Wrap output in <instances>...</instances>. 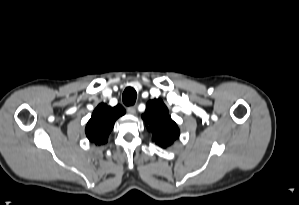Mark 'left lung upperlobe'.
I'll return each instance as SVG.
<instances>
[{
	"mask_svg": "<svg viewBox=\"0 0 299 205\" xmlns=\"http://www.w3.org/2000/svg\"><path fill=\"white\" fill-rule=\"evenodd\" d=\"M142 118L157 145L166 148L179 138V128L169 116L168 109L161 99L150 100Z\"/></svg>",
	"mask_w": 299,
	"mask_h": 205,
	"instance_id": "1",
	"label": "left lung upper lobe"
}]
</instances>
